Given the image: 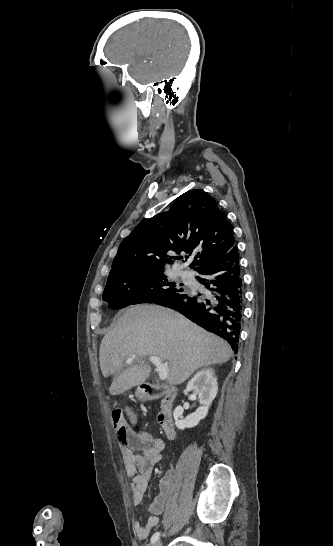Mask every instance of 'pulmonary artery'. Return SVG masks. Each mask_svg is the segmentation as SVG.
Wrapping results in <instances>:
<instances>
[{"label":"pulmonary artery","instance_id":"obj_1","mask_svg":"<svg viewBox=\"0 0 333 546\" xmlns=\"http://www.w3.org/2000/svg\"><path fill=\"white\" fill-rule=\"evenodd\" d=\"M180 276L183 280H186V281H190L193 279V275L187 270L181 271Z\"/></svg>","mask_w":333,"mask_h":546}]
</instances>
